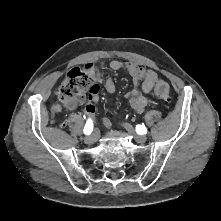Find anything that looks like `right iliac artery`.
Wrapping results in <instances>:
<instances>
[{
  "label": "right iliac artery",
  "mask_w": 221,
  "mask_h": 221,
  "mask_svg": "<svg viewBox=\"0 0 221 221\" xmlns=\"http://www.w3.org/2000/svg\"><path fill=\"white\" fill-rule=\"evenodd\" d=\"M84 134L86 135H90L93 131V122L91 119H88L86 124H85V127H84Z\"/></svg>",
  "instance_id": "1"
}]
</instances>
